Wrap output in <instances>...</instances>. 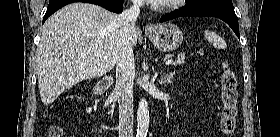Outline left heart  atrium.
<instances>
[{
  "mask_svg": "<svg viewBox=\"0 0 280 137\" xmlns=\"http://www.w3.org/2000/svg\"><path fill=\"white\" fill-rule=\"evenodd\" d=\"M166 0H149L151 4H163Z\"/></svg>",
  "mask_w": 280,
  "mask_h": 137,
  "instance_id": "39dd6f15",
  "label": "left heart atrium"
}]
</instances>
